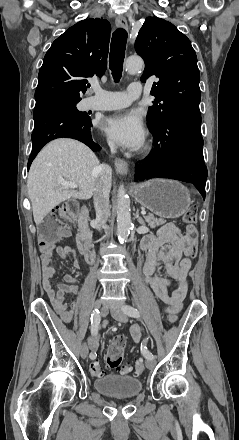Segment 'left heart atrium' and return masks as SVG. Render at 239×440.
Returning <instances> with one entry per match:
<instances>
[{"label": "left heart atrium", "mask_w": 239, "mask_h": 440, "mask_svg": "<svg viewBox=\"0 0 239 440\" xmlns=\"http://www.w3.org/2000/svg\"><path fill=\"white\" fill-rule=\"evenodd\" d=\"M102 130L109 140L132 150L140 149L145 141L144 126L136 113L111 114L103 120Z\"/></svg>", "instance_id": "obj_1"}]
</instances>
